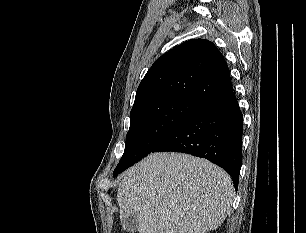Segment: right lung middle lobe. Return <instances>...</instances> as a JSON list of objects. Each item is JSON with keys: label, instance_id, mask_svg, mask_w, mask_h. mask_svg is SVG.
<instances>
[{"label": "right lung middle lobe", "instance_id": "right-lung-middle-lobe-1", "mask_svg": "<svg viewBox=\"0 0 306 233\" xmlns=\"http://www.w3.org/2000/svg\"><path fill=\"white\" fill-rule=\"evenodd\" d=\"M201 107L185 98H162L131 111L125 151L113 175L151 153Z\"/></svg>", "mask_w": 306, "mask_h": 233}]
</instances>
